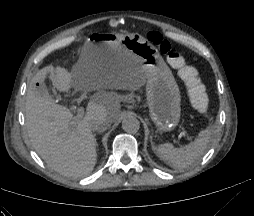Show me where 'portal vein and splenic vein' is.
I'll list each match as a JSON object with an SVG mask.
<instances>
[{
    "label": "portal vein and splenic vein",
    "instance_id": "18ae733b",
    "mask_svg": "<svg viewBox=\"0 0 254 216\" xmlns=\"http://www.w3.org/2000/svg\"><path fill=\"white\" fill-rule=\"evenodd\" d=\"M84 115V108L83 107H79L77 109V117L78 118H82ZM183 135L186 136L188 138V140H191V138L188 137V134L186 131L183 132Z\"/></svg>",
    "mask_w": 254,
    "mask_h": 216
}]
</instances>
